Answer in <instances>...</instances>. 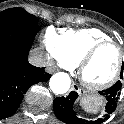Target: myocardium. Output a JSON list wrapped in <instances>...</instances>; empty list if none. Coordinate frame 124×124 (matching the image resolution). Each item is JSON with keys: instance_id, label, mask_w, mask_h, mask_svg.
I'll list each match as a JSON object with an SVG mask.
<instances>
[{"instance_id": "f54148a6", "label": "myocardium", "mask_w": 124, "mask_h": 124, "mask_svg": "<svg viewBox=\"0 0 124 124\" xmlns=\"http://www.w3.org/2000/svg\"><path fill=\"white\" fill-rule=\"evenodd\" d=\"M106 46H115L117 48L118 54H119L117 68H116L113 76L109 80H107L103 83L94 84V83L88 82L87 80H85V78L83 76L84 70H85L86 66L88 65V63L98 53V51ZM123 69H124V50H123V48L117 42H115L113 40H106V41H102V42L95 44L80 59V61L78 63V72L77 73H78L80 82L82 83V85L85 88H87L91 91H103V90H106V89L112 87L120 79Z\"/></svg>"}]
</instances>
